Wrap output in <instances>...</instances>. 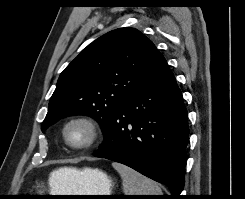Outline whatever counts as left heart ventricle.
I'll return each instance as SVG.
<instances>
[{
  "instance_id": "b2bd125f",
  "label": "left heart ventricle",
  "mask_w": 245,
  "mask_h": 199,
  "mask_svg": "<svg viewBox=\"0 0 245 199\" xmlns=\"http://www.w3.org/2000/svg\"><path fill=\"white\" fill-rule=\"evenodd\" d=\"M67 135L70 142L80 145L88 140L89 130L82 123H74L68 128Z\"/></svg>"
}]
</instances>
